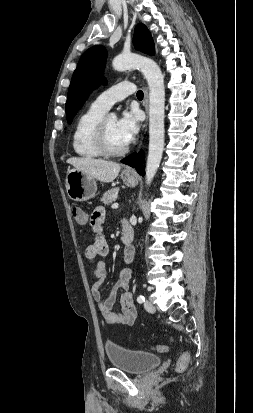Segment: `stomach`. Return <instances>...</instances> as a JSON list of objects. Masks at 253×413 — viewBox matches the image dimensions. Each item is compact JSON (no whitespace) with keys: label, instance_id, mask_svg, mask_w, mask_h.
<instances>
[{"label":"stomach","instance_id":"1","mask_svg":"<svg viewBox=\"0 0 253 413\" xmlns=\"http://www.w3.org/2000/svg\"><path fill=\"white\" fill-rule=\"evenodd\" d=\"M121 178L129 187H134L137 184L133 175L122 173ZM65 186L69 198L74 201H87L93 198L97 191L95 178L76 168L68 170Z\"/></svg>","mask_w":253,"mask_h":413}]
</instances>
